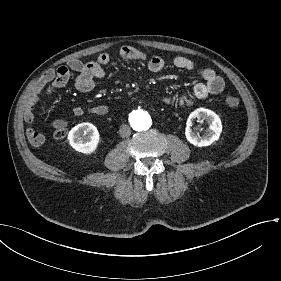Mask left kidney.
<instances>
[{"instance_id":"obj_1","label":"left kidney","mask_w":281,"mask_h":281,"mask_svg":"<svg viewBox=\"0 0 281 281\" xmlns=\"http://www.w3.org/2000/svg\"><path fill=\"white\" fill-rule=\"evenodd\" d=\"M195 119H203L209 123V129L205 134L197 136L192 132L191 126ZM222 134V122L219 116L207 108H198L192 112L187 121L185 136L187 141L196 147H207L217 141Z\"/></svg>"}]
</instances>
